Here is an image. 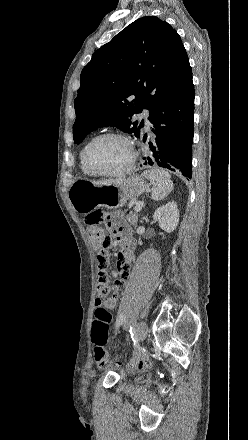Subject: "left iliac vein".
<instances>
[{
    "label": "left iliac vein",
    "mask_w": 248,
    "mask_h": 440,
    "mask_svg": "<svg viewBox=\"0 0 248 440\" xmlns=\"http://www.w3.org/2000/svg\"><path fill=\"white\" fill-rule=\"evenodd\" d=\"M148 334V326L146 322L141 321L138 323L136 328V335L138 340L142 341Z\"/></svg>",
    "instance_id": "4c4485c4"
}]
</instances>
